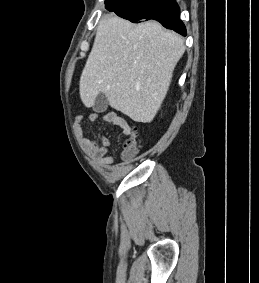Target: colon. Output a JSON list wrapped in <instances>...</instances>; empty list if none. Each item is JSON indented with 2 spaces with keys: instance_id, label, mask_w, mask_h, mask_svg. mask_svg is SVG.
<instances>
[{
  "instance_id": "1",
  "label": "colon",
  "mask_w": 259,
  "mask_h": 283,
  "mask_svg": "<svg viewBox=\"0 0 259 283\" xmlns=\"http://www.w3.org/2000/svg\"><path fill=\"white\" fill-rule=\"evenodd\" d=\"M138 152L137 131L132 129V133L125 139L123 144L122 158L125 161L132 160Z\"/></svg>"
}]
</instances>
